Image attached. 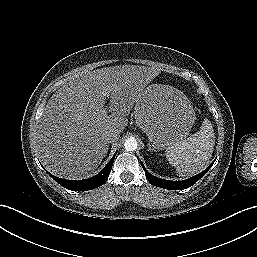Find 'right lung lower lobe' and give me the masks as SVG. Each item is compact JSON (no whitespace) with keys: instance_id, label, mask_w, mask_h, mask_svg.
I'll list each match as a JSON object with an SVG mask.
<instances>
[{"instance_id":"98d812e1","label":"right lung lower lobe","mask_w":257,"mask_h":257,"mask_svg":"<svg viewBox=\"0 0 257 257\" xmlns=\"http://www.w3.org/2000/svg\"><path fill=\"white\" fill-rule=\"evenodd\" d=\"M116 153L114 154V156L111 158V160L107 163V165L103 168V170L98 173L97 175L89 178V179H85V180H65L62 178H58L56 176L51 175L49 172H47L57 183H59L60 185H62L63 187L72 190V191H88V190H92L94 188H97L101 185H103L108 177H109V173L111 171L112 165H113V161L115 158Z\"/></svg>"}]
</instances>
